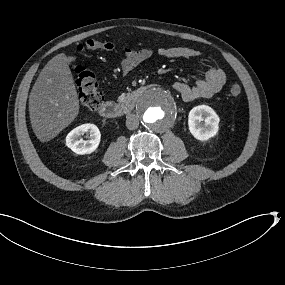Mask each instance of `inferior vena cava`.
<instances>
[{"label":"inferior vena cava","mask_w":285,"mask_h":285,"mask_svg":"<svg viewBox=\"0 0 285 285\" xmlns=\"http://www.w3.org/2000/svg\"><path fill=\"white\" fill-rule=\"evenodd\" d=\"M126 126L129 130H135L139 126V118L135 114H129L126 117Z\"/></svg>","instance_id":"1"}]
</instances>
